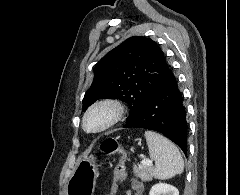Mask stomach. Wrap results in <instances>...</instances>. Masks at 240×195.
Masks as SVG:
<instances>
[{"label":"stomach","instance_id":"obj_1","mask_svg":"<svg viewBox=\"0 0 240 195\" xmlns=\"http://www.w3.org/2000/svg\"><path fill=\"white\" fill-rule=\"evenodd\" d=\"M95 155H80L69 179L68 195H93L98 165Z\"/></svg>","mask_w":240,"mask_h":195}]
</instances>
